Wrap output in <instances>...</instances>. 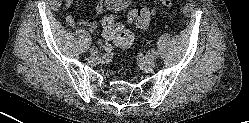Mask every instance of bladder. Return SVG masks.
I'll use <instances>...</instances> for the list:
<instances>
[{
	"mask_svg": "<svg viewBox=\"0 0 249 123\" xmlns=\"http://www.w3.org/2000/svg\"><path fill=\"white\" fill-rule=\"evenodd\" d=\"M130 7V0H104V10L112 15L126 12Z\"/></svg>",
	"mask_w": 249,
	"mask_h": 123,
	"instance_id": "31cf9c89",
	"label": "bladder"
}]
</instances>
